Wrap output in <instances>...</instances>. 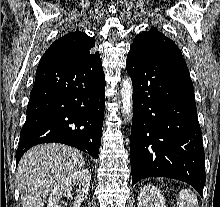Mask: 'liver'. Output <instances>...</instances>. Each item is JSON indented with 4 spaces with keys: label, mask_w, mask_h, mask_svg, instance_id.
Returning <instances> with one entry per match:
<instances>
[{
    "label": "liver",
    "mask_w": 220,
    "mask_h": 207,
    "mask_svg": "<svg viewBox=\"0 0 220 207\" xmlns=\"http://www.w3.org/2000/svg\"><path fill=\"white\" fill-rule=\"evenodd\" d=\"M84 164L80 151L62 144H41L29 149L16 173L22 207H43L49 192Z\"/></svg>",
    "instance_id": "1"
}]
</instances>
